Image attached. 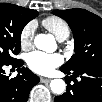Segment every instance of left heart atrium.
Masks as SVG:
<instances>
[{
  "label": "left heart atrium",
  "mask_w": 102,
  "mask_h": 102,
  "mask_svg": "<svg viewBox=\"0 0 102 102\" xmlns=\"http://www.w3.org/2000/svg\"><path fill=\"white\" fill-rule=\"evenodd\" d=\"M27 63L33 72L40 75H47L63 63V58L59 54L34 51L28 55Z\"/></svg>",
  "instance_id": "obj_1"
}]
</instances>
